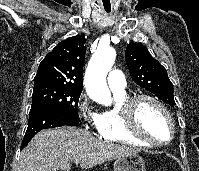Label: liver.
<instances>
[{
    "label": "liver",
    "instance_id": "liver-1",
    "mask_svg": "<svg viewBox=\"0 0 199 171\" xmlns=\"http://www.w3.org/2000/svg\"><path fill=\"white\" fill-rule=\"evenodd\" d=\"M137 153L138 150L103 141L80 128L62 126L37 133L22 150L17 171H69L76 159L81 161V168L89 169Z\"/></svg>",
    "mask_w": 199,
    "mask_h": 171
}]
</instances>
